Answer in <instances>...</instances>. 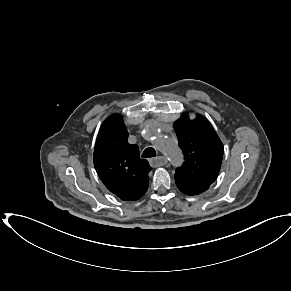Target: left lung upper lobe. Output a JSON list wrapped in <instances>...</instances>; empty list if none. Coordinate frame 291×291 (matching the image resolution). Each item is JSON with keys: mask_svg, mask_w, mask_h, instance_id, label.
Returning <instances> with one entry per match:
<instances>
[{"mask_svg": "<svg viewBox=\"0 0 291 291\" xmlns=\"http://www.w3.org/2000/svg\"><path fill=\"white\" fill-rule=\"evenodd\" d=\"M174 130L185 160L176 169V185L186 195H198L206 191L219 174L223 144L202 115L190 120L187 113H184L175 121Z\"/></svg>", "mask_w": 291, "mask_h": 291, "instance_id": "obj_1", "label": "left lung upper lobe"}]
</instances>
